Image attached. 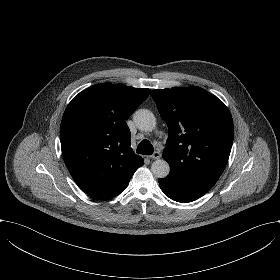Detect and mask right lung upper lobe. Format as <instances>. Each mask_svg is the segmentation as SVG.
I'll return each instance as SVG.
<instances>
[{
  "mask_svg": "<svg viewBox=\"0 0 280 280\" xmlns=\"http://www.w3.org/2000/svg\"><path fill=\"white\" fill-rule=\"evenodd\" d=\"M149 93L102 83L80 92L67 106L60 126L63 159L75 183L90 197L117 196L144 164L130 147L125 120Z\"/></svg>",
  "mask_w": 280,
  "mask_h": 280,
  "instance_id": "obj_1",
  "label": "right lung upper lobe"
}]
</instances>
